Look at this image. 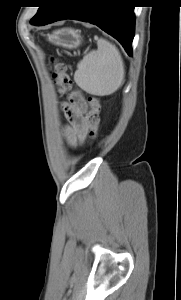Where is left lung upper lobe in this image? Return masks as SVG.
<instances>
[{
	"label": "left lung upper lobe",
	"mask_w": 181,
	"mask_h": 300,
	"mask_svg": "<svg viewBox=\"0 0 181 300\" xmlns=\"http://www.w3.org/2000/svg\"><path fill=\"white\" fill-rule=\"evenodd\" d=\"M56 0H40L36 1L40 4H42L39 7L38 12L36 15L30 20V23L32 25H38L45 17L46 15L50 12L52 7L54 6Z\"/></svg>",
	"instance_id": "1"
}]
</instances>
